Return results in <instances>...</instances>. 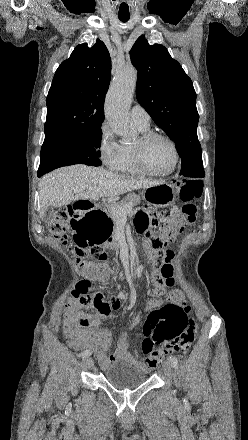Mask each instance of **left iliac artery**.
I'll return each mask as SVG.
<instances>
[{
  "label": "left iliac artery",
  "instance_id": "left-iliac-artery-1",
  "mask_svg": "<svg viewBox=\"0 0 248 440\" xmlns=\"http://www.w3.org/2000/svg\"><path fill=\"white\" fill-rule=\"evenodd\" d=\"M168 359L171 362L173 367H175V368L178 367V359H177V357L170 355Z\"/></svg>",
  "mask_w": 248,
  "mask_h": 440
}]
</instances>
